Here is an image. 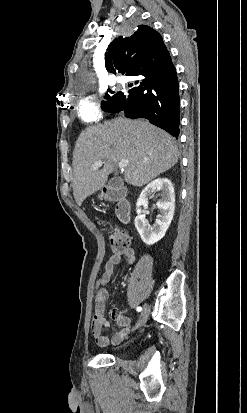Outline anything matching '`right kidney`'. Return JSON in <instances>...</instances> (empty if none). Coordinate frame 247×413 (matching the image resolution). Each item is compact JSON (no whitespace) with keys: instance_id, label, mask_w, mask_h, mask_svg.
<instances>
[{"instance_id":"ca27d5eb","label":"right kidney","mask_w":247,"mask_h":413,"mask_svg":"<svg viewBox=\"0 0 247 413\" xmlns=\"http://www.w3.org/2000/svg\"><path fill=\"white\" fill-rule=\"evenodd\" d=\"M155 190H162V198L156 202L160 215H157L154 225H149L140 207L142 204H148L150 196ZM137 217H135V227L146 245H154L160 239H163L174 215L175 211V192L174 186L169 178H155L143 188L136 202Z\"/></svg>"}]
</instances>
